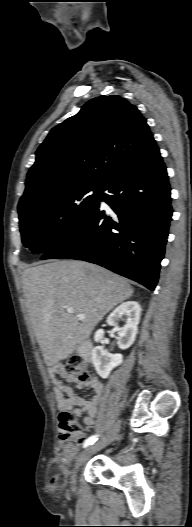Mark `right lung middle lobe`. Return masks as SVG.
Instances as JSON below:
<instances>
[{
	"label": "right lung middle lobe",
	"mask_w": 192,
	"mask_h": 527,
	"mask_svg": "<svg viewBox=\"0 0 192 527\" xmlns=\"http://www.w3.org/2000/svg\"><path fill=\"white\" fill-rule=\"evenodd\" d=\"M102 187L98 184H81L59 191L42 201L18 206L25 247L33 253H43L62 241L91 213L99 201Z\"/></svg>",
	"instance_id": "obj_1"
}]
</instances>
